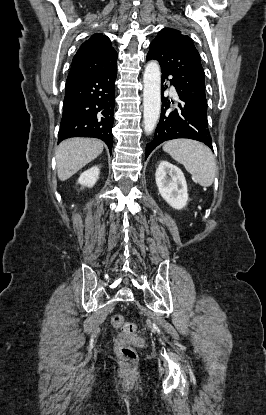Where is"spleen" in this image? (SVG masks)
Returning <instances> with one entry per match:
<instances>
[{"mask_svg": "<svg viewBox=\"0 0 266 415\" xmlns=\"http://www.w3.org/2000/svg\"><path fill=\"white\" fill-rule=\"evenodd\" d=\"M163 150L183 164L198 184L203 187L212 185L217 165L213 153L207 146L190 139H176L165 143Z\"/></svg>", "mask_w": 266, "mask_h": 415, "instance_id": "1", "label": "spleen"}]
</instances>
